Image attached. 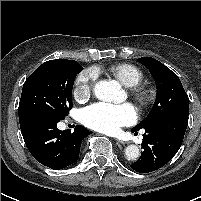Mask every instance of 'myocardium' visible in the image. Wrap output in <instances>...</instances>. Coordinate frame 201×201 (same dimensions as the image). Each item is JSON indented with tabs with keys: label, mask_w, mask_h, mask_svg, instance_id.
<instances>
[{
	"label": "myocardium",
	"mask_w": 201,
	"mask_h": 201,
	"mask_svg": "<svg viewBox=\"0 0 201 201\" xmlns=\"http://www.w3.org/2000/svg\"><path fill=\"white\" fill-rule=\"evenodd\" d=\"M131 96L139 107H145L150 101V93L140 85L131 88Z\"/></svg>",
	"instance_id": "f54148a6"
}]
</instances>
